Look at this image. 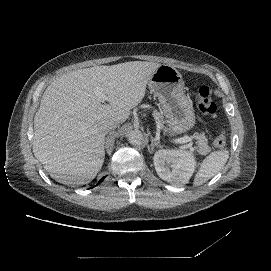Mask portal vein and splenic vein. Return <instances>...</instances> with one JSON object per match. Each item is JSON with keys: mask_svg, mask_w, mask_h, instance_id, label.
<instances>
[{"mask_svg": "<svg viewBox=\"0 0 271 271\" xmlns=\"http://www.w3.org/2000/svg\"><path fill=\"white\" fill-rule=\"evenodd\" d=\"M107 99L106 95L104 94H101L100 95V101L103 102ZM192 141V138L189 137V136H184V137H181V138H178L175 140L176 143H179V144H184V143H188V142H191Z\"/></svg>", "mask_w": 271, "mask_h": 271, "instance_id": "1", "label": "portal vein and splenic vein"}]
</instances>
